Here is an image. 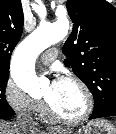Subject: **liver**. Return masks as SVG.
Wrapping results in <instances>:
<instances>
[{"mask_svg": "<svg viewBox=\"0 0 116 134\" xmlns=\"http://www.w3.org/2000/svg\"><path fill=\"white\" fill-rule=\"evenodd\" d=\"M0 134H21V133L15 125L0 121Z\"/></svg>", "mask_w": 116, "mask_h": 134, "instance_id": "1", "label": "liver"}]
</instances>
